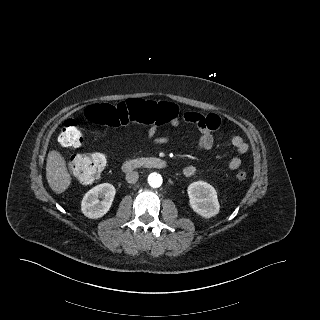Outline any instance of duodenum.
<instances>
[{
    "mask_svg": "<svg viewBox=\"0 0 320 320\" xmlns=\"http://www.w3.org/2000/svg\"><path fill=\"white\" fill-rule=\"evenodd\" d=\"M167 167V162L161 158L143 157L129 159L123 163L122 169L126 172L135 169H164Z\"/></svg>",
    "mask_w": 320,
    "mask_h": 320,
    "instance_id": "obj_1",
    "label": "duodenum"
}]
</instances>
